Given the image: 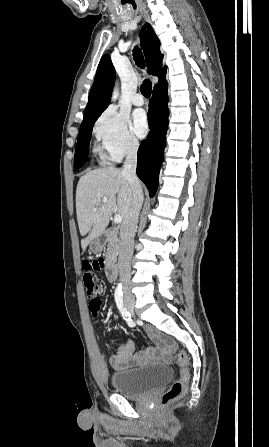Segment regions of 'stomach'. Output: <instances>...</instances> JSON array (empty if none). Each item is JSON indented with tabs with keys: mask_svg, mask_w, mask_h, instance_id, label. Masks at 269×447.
<instances>
[{
	"mask_svg": "<svg viewBox=\"0 0 269 447\" xmlns=\"http://www.w3.org/2000/svg\"><path fill=\"white\" fill-rule=\"evenodd\" d=\"M106 237H95L91 243H89V249L90 251H93V253H99V251H102L106 245Z\"/></svg>",
	"mask_w": 269,
	"mask_h": 447,
	"instance_id": "obj_1",
	"label": "stomach"
}]
</instances>
